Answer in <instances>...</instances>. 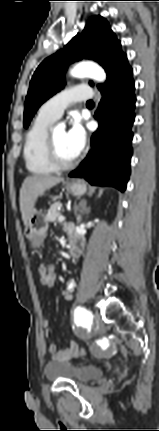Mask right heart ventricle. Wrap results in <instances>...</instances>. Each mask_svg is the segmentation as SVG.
Here are the masks:
<instances>
[{"mask_svg": "<svg viewBox=\"0 0 159 431\" xmlns=\"http://www.w3.org/2000/svg\"><path fill=\"white\" fill-rule=\"evenodd\" d=\"M53 121L39 113L26 133L23 158L27 170L34 175H50L56 171L46 155V140Z\"/></svg>", "mask_w": 159, "mask_h": 431, "instance_id": "obj_1", "label": "right heart ventricle"}]
</instances>
